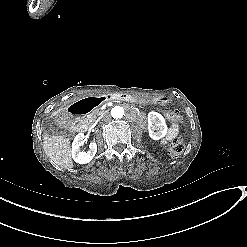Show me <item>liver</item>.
I'll return each instance as SVG.
<instances>
[{
  "label": "liver",
  "mask_w": 247,
  "mask_h": 247,
  "mask_svg": "<svg viewBox=\"0 0 247 247\" xmlns=\"http://www.w3.org/2000/svg\"><path fill=\"white\" fill-rule=\"evenodd\" d=\"M80 99L81 97H76L68 101V104H72ZM65 109V107H60L53 111L46 120L42 131L44 153L50 159L52 166L57 170H72L74 167V161L71 153V140L64 134H49V130L47 128L48 120L58 118L65 111Z\"/></svg>",
  "instance_id": "6515ba94"
}]
</instances>
